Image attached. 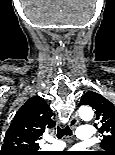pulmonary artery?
Returning a JSON list of instances; mask_svg holds the SVG:
<instances>
[{"label":"pulmonary artery","instance_id":"pulmonary-artery-1","mask_svg":"<svg viewBox=\"0 0 115 155\" xmlns=\"http://www.w3.org/2000/svg\"><path fill=\"white\" fill-rule=\"evenodd\" d=\"M76 137L84 142L91 141L93 139V129L89 126H80L76 131ZM65 147V143L58 141L55 146L50 149L60 150Z\"/></svg>","mask_w":115,"mask_h":155}]
</instances>
